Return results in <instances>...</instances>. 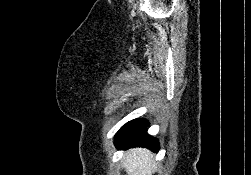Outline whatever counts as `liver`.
Returning <instances> with one entry per match:
<instances>
[{
    "label": "liver",
    "mask_w": 251,
    "mask_h": 175,
    "mask_svg": "<svg viewBox=\"0 0 251 175\" xmlns=\"http://www.w3.org/2000/svg\"><path fill=\"white\" fill-rule=\"evenodd\" d=\"M122 165L127 175H152L156 165L154 153L146 147H133L126 151Z\"/></svg>",
    "instance_id": "6515ba94"
}]
</instances>
